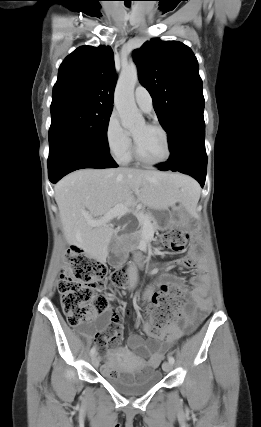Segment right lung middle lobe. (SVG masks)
<instances>
[{
    "instance_id": "dd1d6c3e",
    "label": "right lung middle lobe",
    "mask_w": 261,
    "mask_h": 427,
    "mask_svg": "<svg viewBox=\"0 0 261 427\" xmlns=\"http://www.w3.org/2000/svg\"><path fill=\"white\" fill-rule=\"evenodd\" d=\"M112 108L68 105L51 109L49 152L76 147L109 153L107 128Z\"/></svg>"
}]
</instances>
